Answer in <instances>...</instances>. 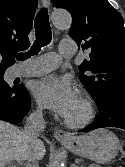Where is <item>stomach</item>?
<instances>
[{"instance_id":"stomach-1","label":"stomach","mask_w":125,"mask_h":167,"mask_svg":"<svg viewBox=\"0 0 125 167\" xmlns=\"http://www.w3.org/2000/svg\"><path fill=\"white\" fill-rule=\"evenodd\" d=\"M75 154L96 163L110 162L117 155L120 143L117 136L107 129H98L64 143Z\"/></svg>"}]
</instances>
